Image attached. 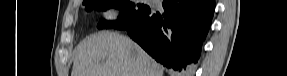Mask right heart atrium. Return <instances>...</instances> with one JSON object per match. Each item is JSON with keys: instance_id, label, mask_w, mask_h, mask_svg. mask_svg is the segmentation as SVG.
<instances>
[{"instance_id": "right-heart-atrium-1", "label": "right heart atrium", "mask_w": 287, "mask_h": 76, "mask_svg": "<svg viewBox=\"0 0 287 76\" xmlns=\"http://www.w3.org/2000/svg\"><path fill=\"white\" fill-rule=\"evenodd\" d=\"M106 15H107L108 17H112V16H113V13H112V12H108Z\"/></svg>"}]
</instances>
